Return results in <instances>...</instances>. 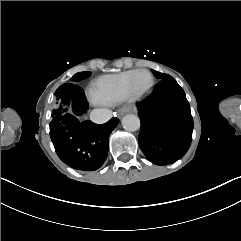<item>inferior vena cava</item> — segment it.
I'll return each mask as SVG.
<instances>
[{"instance_id":"obj_1","label":"inferior vena cava","mask_w":241,"mask_h":241,"mask_svg":"<svg viewBox=\"0 0 241 241\" xmlns=\"http://www.w3.org/2000/svg\"><path fill=\"white\" fill-rule=\"evenodd\" d=\"M112 118V111L107 109H95L90 113V120L96 124H104Z\"/></svg>"}]
</instances>
